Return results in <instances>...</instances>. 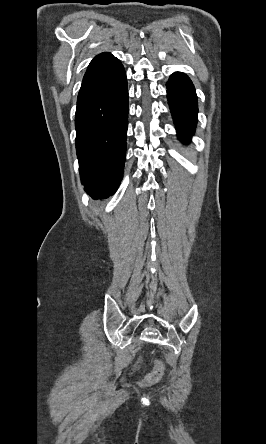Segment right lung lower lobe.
Masks as SVG:
<instances>
[{"mask_svg": "<svg viewBox=\"0 0 266 444\" xmlns=\"http://www.w3.org/2000/svg\"><path fill=\"white\" fill-rule=\"evenodd\" d=\"M75 126L81 182L91 197L106 198L120 184L126 156L128 88L117 58L82 81Z\"/></svg>", "mask_w": 266, "mask_h": 444, "instance_id": "right-lung-lower-lobe-1", "label": "right lung lower lobe"}]
</instances>
